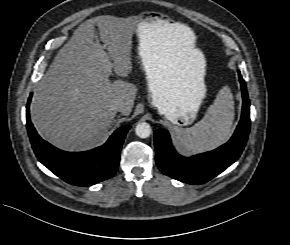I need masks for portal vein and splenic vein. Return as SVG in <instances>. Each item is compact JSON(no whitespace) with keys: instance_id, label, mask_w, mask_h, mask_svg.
I'll return each instance as SVG.
<instances>
[{"instance_id":"1","label":"portal vein and splenic vein","mask_w":290,"mask_h":245,"mask_svg":"<svg viewBox=\"0 0 290 245\" xmlns=\"http://www.w3.org/2000/svg\"><path fill=\"white\" fill-rule=\"evenodd\" d=\"M110 73H111V71L109 70V73H107V76H109V75H110Z\"/></svg>"}]
</instances>
